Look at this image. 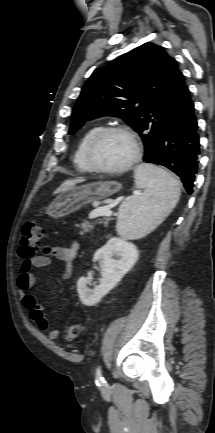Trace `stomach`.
Returning a JSON list of instances; mask_svg holds the SVG:
<instances>
[{
    "label": "stomach",
    "mask_w": 215,
    "mask_h": 433,
    "mask_svg": "<svg viewBox=\"0 0 215 433\" xmlns=\"http://www.w3.org/2000/svg\"><path fill=\"white\" fill-rule=\"evenodd\" d=\"M120 189V184L114 181H98L72 187L48 207L47 214L53 218L67 216L86 204L112 196Z\"/></svg>",
    "instance_id": "0dacf381"
}]
</instances>
